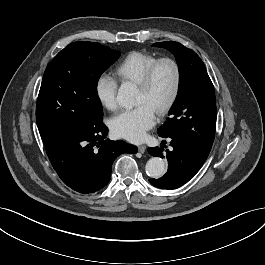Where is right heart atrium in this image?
I'll return each instance as SVG.
<instances>
[{
  "instance_id": "right-heart-atrium-1",
  "label": "right heart atrium",
  "mask_w": 265,
  "mask_h": 265,
  "mask_svg": "<svg viewBox=\"0 0 265 265\" xmlns=\"http://www.w3.org/2000/svg\"><path fill=\"white\" fill-rule=\"evenodd\" d=\"M117 81L110 75L101 74L95 81L94 90L99 104L107 110L117 108Z\"/></svg>"
}]
</instances>
